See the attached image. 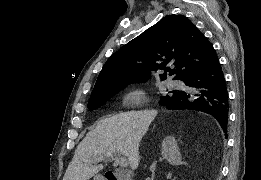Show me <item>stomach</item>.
I'll use <instances>...</instances> for the list:
<instances>
[{
  "label": "stomach",
  "instance_id": "obj_1",
  "mask_svg": "<svg viewBox=\"0 0 261 180\" xmlns=\"http://www.w3.org/2000/svg\"><path fill=\"white\" fill-rule=\"evenodd\" d=\"M93 180H104V178L101 175H96V176H94Z\"/></svg>",
  "mask_w": 261,
  "mask_h": 180
}]
</instances>
